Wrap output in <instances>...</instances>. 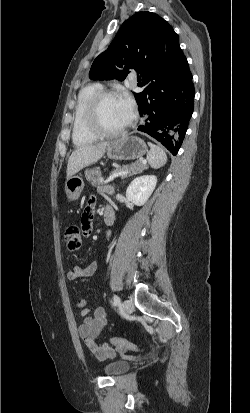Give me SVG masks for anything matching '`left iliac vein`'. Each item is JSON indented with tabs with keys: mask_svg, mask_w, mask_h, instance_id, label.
I'll use <instances>...</instances> for the list:
<instances>
[{
	"mask_svg": "<svg viewBox=\"0 0 250 413\" xmlns=\"http://www.w3.org/2000/svg\"><path fill=\"white\" fill-rule=\"evenodd\" d=\"M121 306L123 312L127 315L131 314L134 310V305L131 300H124Z\"/></svg>",
	"mask_w": 250,
	"mask_h": 413,
	"instance_id": "obj_1",
	"label": "left iliac vein"
}]
</instances>
